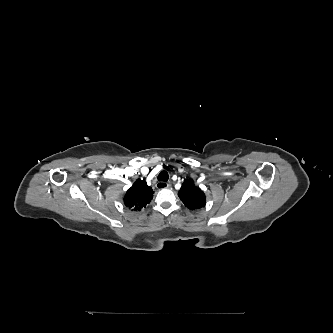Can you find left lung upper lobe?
<instances>
[{"label":"left lung upper lobe","mask_w":333,"mask_h":333,"mask_svg":"<svg viewBox=\"0 0 333 333\" xmlns=\"http://www.w3.org/2000/svg\"><path fill=\"white\" fill-rule=\"evenodd\" d=\"M178 196L189 209L195 210L205 206V194L199 187L194 185L192 179H189L182 184Z\"/></svg>","instance_id":"left-lung-upper-lobe-1"}]
</instances>
